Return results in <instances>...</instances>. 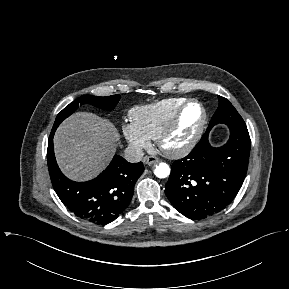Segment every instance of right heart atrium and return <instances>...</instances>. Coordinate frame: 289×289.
Instances as JSON below:
<instances>
[{
	"mask_svg": "<svg viewBox=\"0 0 289 289\" xmlns=\"http://www.w3.org/2000/svg\"><path fill=\"white\" fill-rule=\"evenodd\" d=\"M122 133L127 142L135 149L142 150L150 146V138L132 122L122 126Z\"/></svg>",
	"mask_w": 289,
	"mask_h": 289,
	"instance_id": "d8ad5b80",
	"label": "right heart atrium"
}]
</instances>
